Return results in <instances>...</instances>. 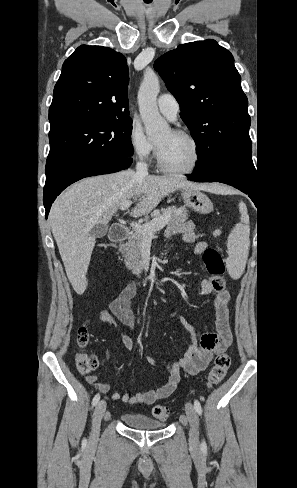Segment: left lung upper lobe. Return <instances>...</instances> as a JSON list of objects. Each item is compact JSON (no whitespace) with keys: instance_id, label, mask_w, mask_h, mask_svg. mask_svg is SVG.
<instances>
[{"instance_id":"1","label":"left lung upper lobe","mask_w":297,"mask_h":488,"mask_svg":"<svg viewBox=\"0 0 297 488\" xmlns=\"http://www.w3.org/2000/svg\"><path fill=\"white\" fill-rule=\"evenodd\" d=\"M154 68L197 142L193 172L232 168L255 178L248 100L230 51L211 39L187 43L158 58Z\"/></svg>"}]
</instances>
